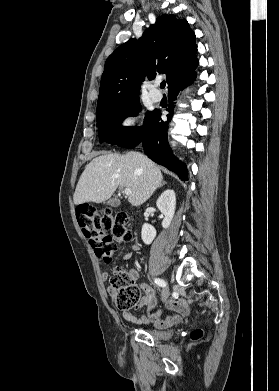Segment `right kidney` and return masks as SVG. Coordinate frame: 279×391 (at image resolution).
<instances>
[{"instance_id": "1", "label": "right kidney", "mask_w": 279, "mask_h": 391, "mask_svg": "<svg viewBox=\"0 0 279 391\" xmlns=\"http://www.w3.org/2000/svg\"><path fill=\"white\" fill-rule=\"evenodd\" d=\"M156 205L160 212L164 215L162 227L166 229L170 226L176 209V196L174 190H165L157 199ZM141 237L146 245L151 244L156 237V229L152 225L144 223L142 226Z\"/></svg>"}]
</instances>
